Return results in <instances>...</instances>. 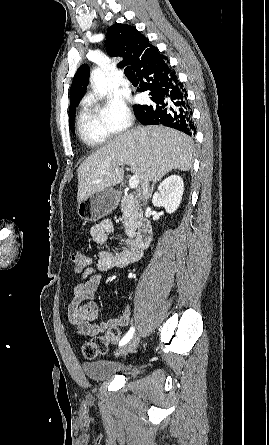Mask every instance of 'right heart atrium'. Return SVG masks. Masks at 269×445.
I'll return each instance as SVG.
<instances>
[{"label":"right heart atrium","instance_id":"d8ad5b80","mask_svg":"<svg viewBox=\"0 0 269 445\" xmlns=\"http://www.w3.org/2000/svg\"><path fill=\"white\" fill-rule=\"evenodd\" d=\"M94 114L110 135L125 131L132 123V113L119 97L108 96L95 103Z\"/></svg>","mask_w":269,"mask_h":445}]
</instances>
